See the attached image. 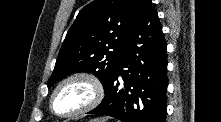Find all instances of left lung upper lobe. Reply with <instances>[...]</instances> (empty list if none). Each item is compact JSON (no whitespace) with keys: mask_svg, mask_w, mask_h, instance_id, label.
Segmentation results:
<instances>
[{"mask_svg":"<svg viewBox=\"0 0 221 122\" xmlns=\"http://www.w3.org/2000/svg\"><path fill=\"white\" fill-rule=\"evenodd\" d=\"M141 0H95L77 15L62 44L48 88L76 72L94 73L109 85Z\"/></svg>","mask_w":221,"mask_h":122,"instance_id":"obj_1","label":"left lung upper lobe"}]
</instances>
